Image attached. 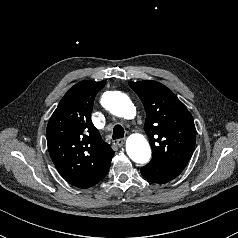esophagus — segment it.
<instances>
[{
  "mask_svg": "<svg viewBox=\"0 0 238 238\" xmlns=\"http://www.w3.org/2000/svg\"><path fill=\"white\" fill-rule=\"evenodd\" d=\"M125 144V139L121 138L116 141L118 147H122Z\"/></svg>",
  "mask_w": 238,
  "mask_h": 238,
  "instance_id": "1",
  "label": "esophagus"
}]
</instances>
